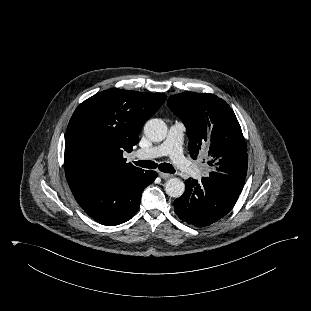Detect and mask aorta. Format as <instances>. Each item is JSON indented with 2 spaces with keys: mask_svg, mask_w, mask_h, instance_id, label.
Wrapping results in <instances>:
<instances>
[{
  "mask_svg": "<svg viewBox=\"0 0 311 311\" xmlns=\"http://www.w3.org/2000/svg\"><path fill=\"white\" fill-rule=\"evenodd\" d=\"M144 134L152 142H161L167 135V126L161 119H150L144 125ZM167 195L179 198L185 191V184L179 178H170L165 183Z\"/></svg>",
  "mask_w": 311,
  "mask_h": 311,
  "instance_id": "762f6f07",
  "label": "aorta"
}]
</instances>
